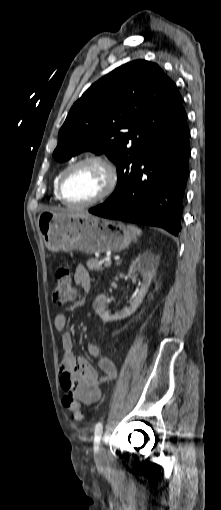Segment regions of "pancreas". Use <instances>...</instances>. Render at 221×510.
Segmentation results:
<instances>
[{"mask_svg": "<svg viewBox=\"0 0 221 510\" xmlns=\"http://www.w3.org/2000/svg\"><path fill=\"white\" fill-rule=\"evenodd\" d=\"M87 267L91 271H102V270H104L105 267H108V266H103L102 264H99V260L95 258V259H89L87 261Z\"/></svg>", "mask_w": 221, "mask_h": 510, "instance_id": "obj_1", "label": "pancreas"}]
</instances>
